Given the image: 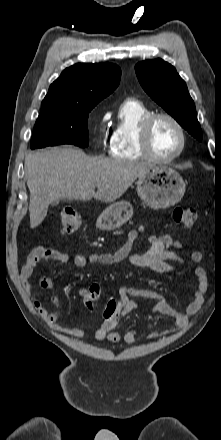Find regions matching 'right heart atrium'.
Segmentation results:
<instances>
[{"mask_svg": "<svg viewBox=\"0 0 221 440\" xmlns=\"http://www.w3.org/2000/svg\"><path fill=\"white\" fill-rule=\"evenodd\" d=\"M109 117H110V114L109 113H105L102 116V118L100 119V123H99L100 130L103 133V140L104 141L106 140L105 125H106V122L108 121Z\"/></svg>", "mask_w": 221, "mask_h": 440, "instance_id": "obj_1", "label": "right heart atrium"}]
</instances>
